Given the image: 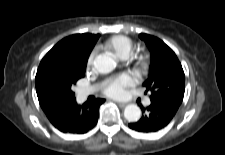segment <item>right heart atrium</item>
<instances>
[{
	"label": "right heart atrium",
	"mask_w": 225,
	"mask_h": 155,
	"mask_svg": "<svg viewBox=\"0 0 225 155\" xmlns=\"http://www.w3.org/2000/svg\"><path fill=\"white\" fill-rule=\"evenodd\" d=\"M93 62V55H90L89 59H88V65H91Z\"/></svg>",
	"instance_id": "obj_1"
}]
</instances>
